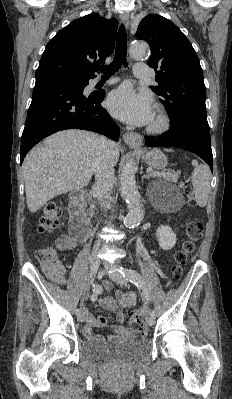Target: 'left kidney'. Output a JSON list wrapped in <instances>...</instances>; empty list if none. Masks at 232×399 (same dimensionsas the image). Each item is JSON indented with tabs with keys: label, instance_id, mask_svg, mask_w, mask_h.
I'll return each instance as SVG.
<instances>
[{
	"label": "left kidney",
	"instance_id": "5707ae66",
	"mask_svg": "<svg viewBox=\"0 0 232 399\" xmlns=\"http://www.w3.org/2000/svg\"><path fill=\"white\" fill-rule=\"evenodd\" d=\"M158 243L162 249H171L176 243V233L170 225H160L156 231Z\"/></svg>",
	"mask_w": 232,
	"mask_h": 399
}]
</instances>
